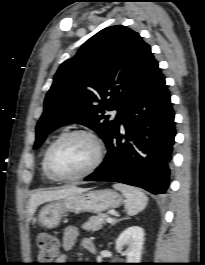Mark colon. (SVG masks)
Masks as SVG:
<instances>
[{"mask_svg":"<svg viewBox=\"0 0 205 265\" xmlns=\"http://www.w3.org/2000/svg\"><path fill=\"white\" fill-rule=\"evenodd\" d=\"M59 254L58 240L48 233L37 237V255L41 265H51Z\"/></svg>","mask_w":205,"mask_h":265,"instance_id":"obj_1","label":"colon"}]
</instances>
